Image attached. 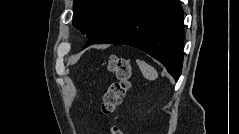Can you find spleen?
Segmentation results:
<instances>
[{
  "instance_id": "spleen-1",
  "label": "spleen",
  "mask_w": 239,
  "mask_h": 134,
  "mask_svg": "<svg viewBox=\"0 0 239 134\" xmlns=\"http://www.w3.org/2000/svg\"><path fill=\"white\" fill-rule=\"evenodd\" d=\"M137 64L143 74V76L148 80H155L158 76L157 71L146 62L137 60Z\"/></svg>"
}]
</instances>
